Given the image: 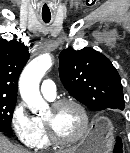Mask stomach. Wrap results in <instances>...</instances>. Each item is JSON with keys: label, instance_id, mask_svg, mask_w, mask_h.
I'll list each match as a JSON object with an SVG mask.
<instances>
[{"label": "stomach", "instance_id": "1", "mask_svg": "<svg viewBox=\"0 0 130 153\" xmlns=\"http://www.w3.org/2000/svg\"><path fill=\"white\" fill-rule=\"evenodd\" d=\"M113 136L112 124L106 119H100L72 153H108Z\"/></svg>", "mask_w": 130, "mask_h": 153}]
</instances>
